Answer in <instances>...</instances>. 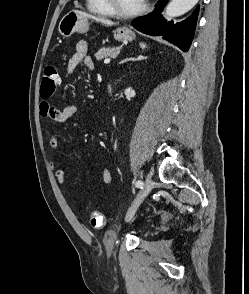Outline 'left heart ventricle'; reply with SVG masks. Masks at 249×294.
Instances as JSON below:
<instances>
[{"instance_id":"left-heart-ventricle-1","label":"left heart ventricle","mask_w":249,"mask_h":294,"mask_svg":"<svg viewBox=\"0 0 249 294\" xmlns=\"http://www.w3.org/2000/svg\"><path fill=\"white\" fill-rule=\"evenodd\" d=\"M119 8L125 11H132L141 7L144 0H116Z\"/></svg>"}]
</instances>
